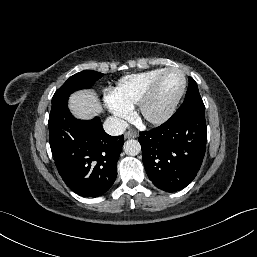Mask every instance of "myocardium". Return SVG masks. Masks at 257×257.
<instances>
[{
  "instance_id": "f54148a6",
  "label": "myocardium",
  "mask_w": 257,
  "mask_h": 257,
  "mask_svg": "<svg viewBox=\"0 0 257 257\" xmlns=\"http://www.w3.org/2000/svg\"><path fill=\"white\" fill-rule=\"evenodd\" d=\"M169 72H178L181 74L183 83L182 88L177 95V97L168 105L166 106L162 111H160L157 114H151L150 113V107L153 103V100L156 96V93L158 91L159 85L163 79V77L169 73ZM187 87V78L185 73L174 67L166 68L164 69L152 82L146 93L143 95L141 100L139 101L138 108H139V115L140 119L145 124L150 125H160L166 122L175 112L178 104L180 103Z\"/></svg>"
}]
</instances>
